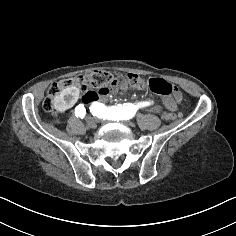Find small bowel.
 <instances>
[{
    "instance_id": "small-bowel-1",
    "label": "small bowel",
    "mask_w": 236,
    "mask_h": 236,
    "mask_svg": "<svg viewBox=\"0 0 236 236\" xmlns=\"http://www.w3.org/2000/svg\"><path fill=\"white\" fill-rule=\"evenodd\" d=\"M179 101V98L178 99H168L165 101L164 103V107L168 110H175L176 109V106H177V103ZM147 107H148V110L151 111V112H160L162 110V107L157 104L154 100H148L147 101Z\"/></svg>"
}]
</instances>
